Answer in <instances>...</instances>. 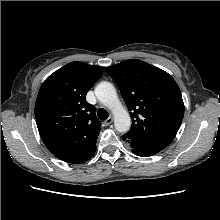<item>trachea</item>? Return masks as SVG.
<instances>
[{
    "label": "trachea",
    "mask_w": 220,
    "mask_h": 220,
    "mask_svg": "<svg viewBox=\"0 0 220 220\" xmlns=\"http://www.w3.org/2000/svg\"><path fill=\"white\" fill-rule=\"evenodd\" d=\"M97 115H98L99 119H101V120H106L109 116L108 112L103 108H100L98 110Z\"/></svg>",
    "instance_id": "trachea-1"
}]
</instances>
